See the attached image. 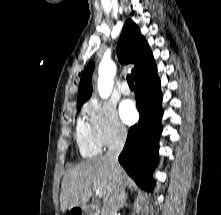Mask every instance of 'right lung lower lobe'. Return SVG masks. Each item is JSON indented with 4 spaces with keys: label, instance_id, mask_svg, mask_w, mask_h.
<instances>
[{
    "label": "right lung lower lobe",
    "instance_id": "1",
    "mask_svg": "<svg viewBox=\"0 0 221 215\" xmlns=\"http://www.w3.org/2000/svg\"><path fill=\"white\" fill-rule=\"evenodd\" d=\"M135 96L140 119L128 131L119 162L139 186L151 191L155 182L149 166H155L158 161V141L162 131L160 121L163 115L160 110V80L156 71L136 81Z\"/></svg>",
    "mask_w": 221,
    "mask_h": 215
}]
</instances>
